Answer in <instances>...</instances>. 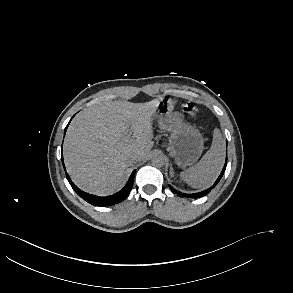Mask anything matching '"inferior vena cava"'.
I'll list each match as a JSON object with an SVG mask.
<instances>
[{
    "mask_svg": "<svg viewBox=\"0 0 293 293\" xmlns=\"http://www.w3.org/2000/svg\"><path fill=\"white\" fill-rule=\"evenodd\" d=\"M140 160H141V156L137 153H134L128 157L127 162L130 166H133L136 163H138Z\"/></svg>",
    "mask_w": 293,
    "mask_h": 293,
    "instance_id": "1",
    "label": "inferior vena cava"
}]
</instances>
